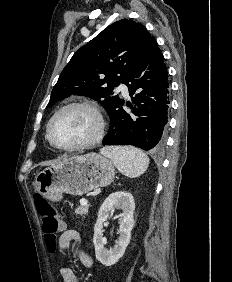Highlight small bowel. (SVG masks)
Masks as SVG:
<instances>
[{"label": "small bowel", "instance_id": "1", "mask_svg": "<svg viewBox=\"0 0 232 282\" xmlns=\"http://www.w3.org/2000/svg\"><path fill=\"white\" fill-rule=\"evenodd\" d=\"M59 253L64 254L65 251L72 247L74 256L87 268L92 266L91 257L81 249V237L76 230L65 229L59 237ZM59 273L63 282H87L81 281L77 274L68 266L62 265Z\"/></svg>", "mask_w": 232, "mask_h": 282}]
</instances>
